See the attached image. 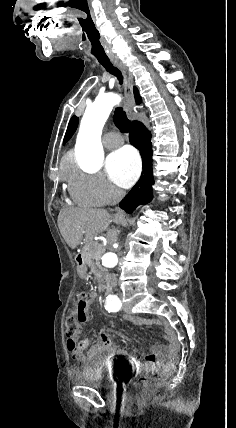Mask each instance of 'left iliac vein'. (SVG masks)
<instances>
[{"mask_svg": "<svg viewBox=\"0 0 236 428\" xmlns=\"http://www.w3.org/2000/svg\"><path fill=\"white\" fill-rule=\"evenodd\" d=\"M119 299H121V301H124V298L122 297V294H119Z\"/></svg>", "mask_w": 236, "mask_h": 428, "instance_id": "4c4485c4", "label": "left iliac vein"}]
</instances>
